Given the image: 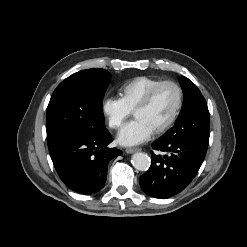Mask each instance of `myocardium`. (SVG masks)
I'll return each instance as SVG.
<instances>
[{"mask_svg":"<svg viewBox=\"0 0 247 247\" xmlns=\"http://www.w3.org/2000/svg\"><path fill=\"white\" fill-rule=\"evenodd\" d=\"M164 86H171L176 90L177 103H176V106H175L174 111H173L172 115L170 116V118L162 126H160L158 129H156L154 131V134H156V135H159V134L166 132L176 122V120H177V118H178V116L182 110L183 102H184V93H183L182 87L177 82H175L173 80L161 81L158 84H156L155 86H153L147 92V94L144 96V98L139 102V104L133 110V114H135L137 111L146 109L151 104V102L153 101L157 92Z\"/></svg>","mask_w":247,"mask_h":247,"instance_id":"f54148a6","label":"myocardium"}]
</instances>
